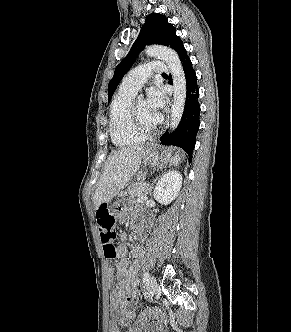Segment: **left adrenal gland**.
<instances>
[{"mask_svg": "<svg viewBox=\"0 0 291 332\" xmlns=\"http://www.w3.org/2000/svg\"><path fill=\"white\" fill-rule=\"evenodd\" d=\"M157 179H158V177H157L156 179H154L153 182H152L151 185H150V188H149V195H150V196H151V194H152V189H153V186H154V184H155V182H156Z\"/></svg>", "mask_w": 291, "mask_h": 332, "instance_id": "obj_1", "label": "left adrenal gland"}]
</instances>
